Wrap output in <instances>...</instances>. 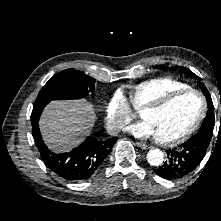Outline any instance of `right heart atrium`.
<instances>
[{"mask_svg": "<svg viewBox=\"0 0 221 221\" xmlns=\"http://www.w3.org/2000/svg\"><path fill=\"white\" fill-rule=\"evenodd\" d=\"M105 124L109 132L119 133L132 119L131 109L125 94L116 90L105 106Z\"/></svg>", "mask_w": 221, "mask_h": 221, "instance_id": "right-heart-atrium-1", "label": "right heart atrium"}]
</instances>
